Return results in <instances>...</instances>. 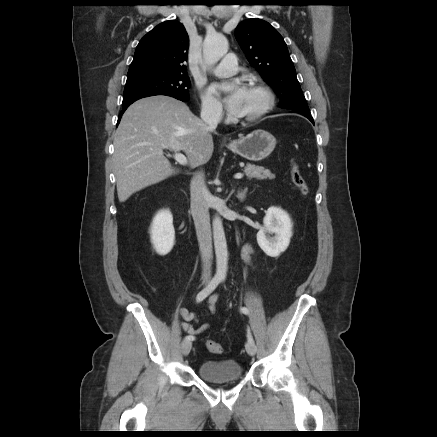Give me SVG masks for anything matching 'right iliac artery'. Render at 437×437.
<instances>
[{
	"mask_svg": "<svg viewBox=\"0 0 437 437\" xmlns=\"http://www.w3.org/2000/svg\"><path fill=\"white\" fill-rule=\"evenodd\" d=\"M220 281H221L220 278L214 277L210 281V283L197 294L196 301L197 302L203 301L208 295H210L216 289V287L218 286ZM185 340H194V337L191 335H188L185 337Z\"/></svg>",
	"mask_w": 437,
	"mask_h": 437,
	"instance_id": "right-iliac-artery-1",
	"label": "right iliac artery"
}]
</instances>
